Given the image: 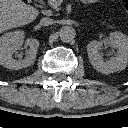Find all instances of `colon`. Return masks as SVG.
Here are the masks:
<instances>
[{"mask_svg":"<svg viewBox=\"0 0 128 128\" xmlns=\"http://www.w3.org/2000/svg\"><path fill=\"white\" fill-rule=\"evenodd\" d=\"M124 7H125V10H126V12L128 14V1L125 3Z\"/></svg>","mask_w":128,"mask_h":128,"instance_id":"colon-1","label":"colon"}]
</instances>
